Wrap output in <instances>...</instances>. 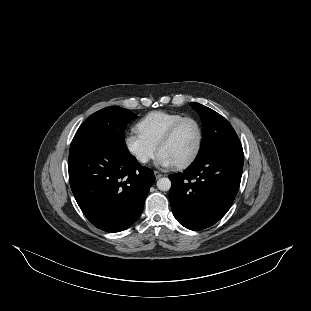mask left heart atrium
Here are the masks:
<instances>
[{
	"label": "left heart atrium",
	"instance_id": "39dd6f15",
	"mask_svg": "<svg viewBox=\"0 0 311 311\" xmlns=\"http://www.w3.org/2000/svg\"><path fill=\"white\" fill-rule=\"evenodd\" d=\"M156 164L157 166L163 168L176 166V163L172 159H170L167 155L162 153L159 154Z\"/></svg>",
	"mask_w": 311,
	"mask_h": 311
}]
</instances>
